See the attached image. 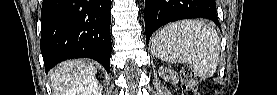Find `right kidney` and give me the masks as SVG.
Here are the masks:
<instances>
[{"label":"right kidney","instance_id":"obj_1","mask_svg":"<svg viewBox=\"0 0 277 95\" xmlns=\"http://www.w3.org/2000/svg\"><path fill=\"white\" fill-rule=\"evenodd\" d=\"M72 92L70 93L72 95H101L98 81L94 76L82 79Z\"/></svg>","mask_w":277,"mask_h":95}]
</instances>
